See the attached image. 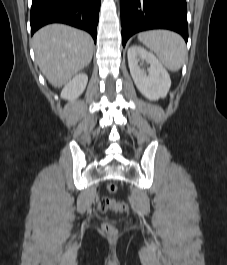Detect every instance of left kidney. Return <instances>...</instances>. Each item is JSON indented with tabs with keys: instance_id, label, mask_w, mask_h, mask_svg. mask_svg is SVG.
<instances>
[{
	"instance_id": "5707ae66",
	"label": "left kidney",
	"mask_w": 227,
	"mask_h": 265,
	"mask_svg": "<svg viewBox=\"0 0 227 265\" xmlns=\"http://www.w3.org/2000/svg\"><path fill=\"white\" fill-rule=\"evenodd\" d=\"M127 56L131 76L143 96L154 101L165 98L171 86V79L155 55L143 47L133 45L128 49ZM141 60L149 64L147 73L139 65Z\"/></svg>"
}]
</instances>
